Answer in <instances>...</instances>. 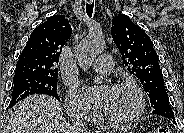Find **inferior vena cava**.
Returning a JSON list of instances; mask_svg holds the SVG:
<instances>
[{
  "mask_svg": "<svg viewBox=\"0 0 184 133\" xmlns=\"http://www.w3.org/2000/svg\"><path fill=\"white\" fill-rule=\"evenodd\" d=\"M85 114V109L83 107H78L70 112V117L73 121V132L74 133H88V129L83 122V117Z\"/></svg>",
  "mask_w": 184,
  "mask_h": 133,
  "instance_id": "inferior-vena-cava-1",
  "label": "inferior vena cava"
}]
</instances>
